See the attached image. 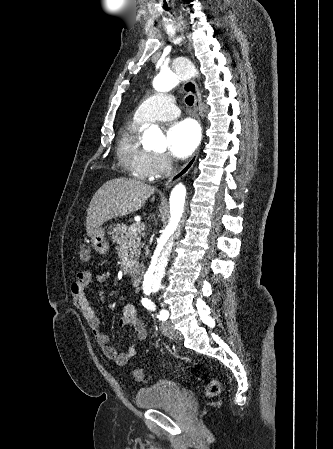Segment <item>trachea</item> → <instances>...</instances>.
Instances as JSON below:
<instances>
[{
    "mask_svg": "<svg viewBox=\"0 0 333 449\" xmlns=\"http://www.w3.org/2000/svg\"><path fill=\"white\" fill-rule=\"evenodd\" d=\"M185 101L189 106H192L194 103V97L192 95H189L186 97Z\"/></svg>",
    "mask_w": 333,
    "mask_h": 449,
    "instance_id": "3493384b",
    "label": "trachea"
}]
</instances>
